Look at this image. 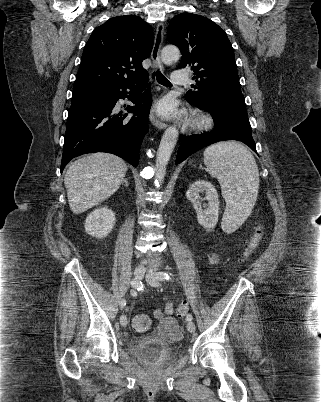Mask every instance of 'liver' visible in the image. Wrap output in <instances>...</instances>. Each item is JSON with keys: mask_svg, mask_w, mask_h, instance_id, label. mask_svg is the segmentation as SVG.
Segmentation results:
<instances>
[{"mask_svg": "<svg viewBox=\"0 0 321 402\" xmlns=\"http://www.w3.org/2000/svg\"><path fill=\"white\" fill-rule=\"evenodd\" d=\"M127 169L121 158L108 153H93L77 159L64 177L72 212L83 213L113 195Z\"/></svg>", "mask_w": 321, "mask_h": 402, "instance_id": "obj_1", "label": "liver"}]
</instances>
